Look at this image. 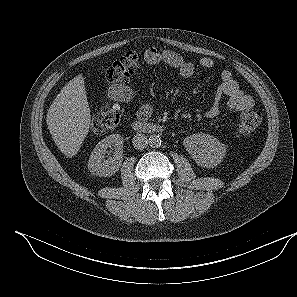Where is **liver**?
Wrapping results in <instances>:
<instances>
[{"mask_svg":"<svg viewBox=\"0 0 297 297\" xmlns=\"http://www.w3.org/2000/svg\"><path fill=\"white\" fill-rule=\"evenodd\" d=\"M91 113L81 74L65 85L51 104L46 122L58 149L67 157L75 156L86 138Z\"/></svg>","mask_w":297,"mask_h":297,"instance_id":"1","label":"liver"}]
</instances>
